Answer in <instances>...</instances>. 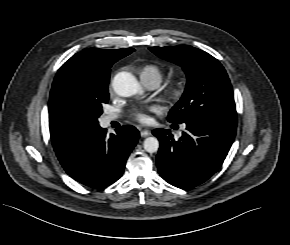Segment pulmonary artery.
Masks as SVG:
<instances>
[{"mask_svg":"<svg viewBox=\"0 0 290 245\" xmlns=\"http://www.w3.org/2000/svg\"><path fill=\"white\" fill-rule=\"evenodd\" d=\"M142 82L149 89H155L160 84V80L156 77H152L149 79H143ZM118 118H119V116L117 114H108L104 117V122L110 123L111 121L116 120Z\"/></svg>","mask_w":290,"mask_h":245,"instance_id":"obj_1","label":"pulmonary artery"}]
</instances>
